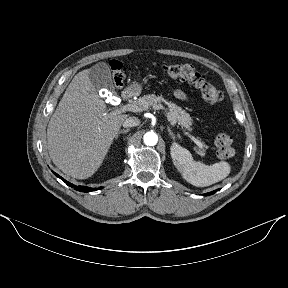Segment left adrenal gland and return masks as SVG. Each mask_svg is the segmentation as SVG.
Segmentation results:
<instances>
[{
	"instance_id": "a2214340",
	"label": "left adrenal gland",
	"mask_w": 288,
	"mask_h": 288,
	"mask_svg": "<svg viewBox=\"0 0 288 288\" xmlns=\"http://www.w3.org/2000/svg\"><path fill=\"white\" fill-rule=\"evenodd\" d=\"M167 129H168L169 134H170L171 137L173 138V140H175V135H174V133L172 132V130H171L169 127H168Z\"/></svg>"
}]
</instances>
